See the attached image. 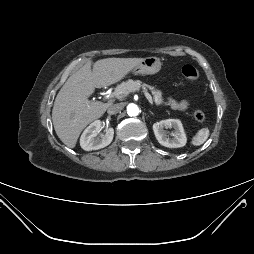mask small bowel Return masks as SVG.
<instances>
[{"label":"small bowel","instance_id":"1","mask_svg":"<svg viewBox=\"0 0 254 254\" xmlns=\"http://www.w3.org/2000/svg\"><path fill=\"white\" fill-rule=\"evenodd\" d=\"M167 103L176 110H185L188 107L187 101H177L171 97L167 98Z\"/></svg>","mask_w":254,"mask_h":254}]
</instances>
